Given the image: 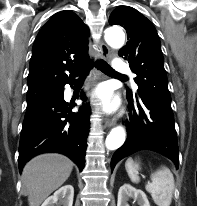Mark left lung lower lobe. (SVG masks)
<instances>
[{"mask_svg": "<svg viewBox=\"0 0 197 206\" xmlns=\"http://www.w3.org/2000/svg\"><path fill=\"white\" fill-rule=\"evenodd\" d=\"M126 97L133 109V102L137 104L139 114L134 110L130 122L126 124L128 137L114 153L111 170L124 157L143 149L163 154L178 168L179 151L171 103L141 93H127Z\"/></svg>", "mask_w": 197, "mask_h": 206, "instance_id": "0a47b994", "label": "left lung lower lobe"}]
</instances>
